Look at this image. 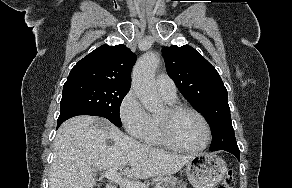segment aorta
Here are the masks:
<instances>
[{
  "label": "aorta",
  "instance_id": "aorta-1",
  "mask_svg": "<svg viewBox=\"0 0 292 188\" xmlns=\"http://www.w3.org/2000/svg\"><path fill=\"white\" fill-rule=\"evenodd\" d=\"M159 62L157 53L148 52L137 61L132 73L133 89L146 110L150 112H157L163 106L154 81Z\"/></svg>",
  "mask_w": 292,
  "mask_h": 188
}]
</instances>
